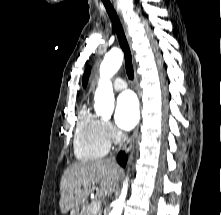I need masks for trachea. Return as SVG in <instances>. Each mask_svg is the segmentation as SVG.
<instances>
[{"mask_svg":"<svg viewBox=\"0 0 221 215\" xmlns=\"http://www.w3.org/2000/svg\"><path fill=\"white\" fill-rule=\"evenodd\" d=\"M103 4L106 8V11L112 21L114 30L117 34L119 44L124 52V57H125V67H126V73L129 79H133L134 77V71H133V66H132V56L131 52L129 49V45L126 39V36L124 34L120 19L113 7V5L110 3L109 0H102Z\"/></svg>","mask_w":221,"mask_h":215,"instance_id":"trachea-1","label":"trachea"}]
</instances>
